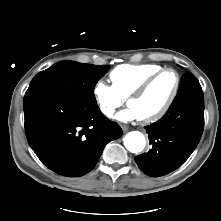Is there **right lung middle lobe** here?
Instances as JSON below:
<instances>
[{
  "label": "right lung middle lobe",
  "mask_w": 221,
  "mask_h": 221,
  "mask_svg": "<svg viewBox=\"0 0 221 221\" xmlns=\"http://www.w3.org/2000/svg\"><path fill=\"white\" fill-rule=\"evenodd\" d=\"M109 70L108 65L62 61L39 72L31 81L25 96L49 94L84 104H96L94 87Z\"/></svg>",
  "instance_id": "1"
}]
</instances>
